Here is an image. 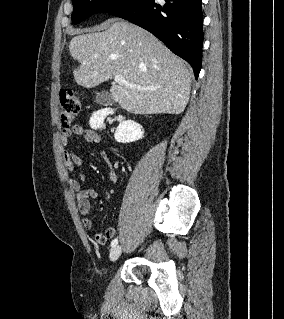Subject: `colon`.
I'll return each instance as SVG.
<instances>
[{"label": "colon", "mask_w": 284, "mask_h": 319, "mask_svg": "<svg viewBox=\"0 0 284 319\" xmlns=\"http://www.w3.org/2000/svg\"><path fill=\"white\" fill-rule=\"evenodd\" d=\"M81 101L71 90L60 93L59 113L63 128H69L80 112Z\"/></svg>", "instance_id": "5ec220e1"}]
</instances>
